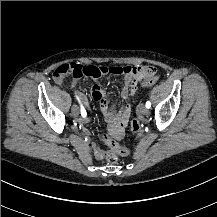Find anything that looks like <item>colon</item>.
I'll return each mask as SVG.
<instances>
[{"mask_svg": "<svg viewBox=\"0 0 217 217\" xmlns=\"http://www.w3.org/2000/svg\"><path fill=\"white\" fill-rule=\"evenodd\" d=\"M155 70L154 67L143 65V66H131V65H113V66H82L77 62L65 63L63 66L55 70L54 76L56 78H61L63 80H68L70 78H97L103 74H131L137 78L142 77L143 75ZM158 80L157 75L154 77L143 80L141 83L144 86H151L155 84ZM131 130L133 132H138L140 130V125L136 119H133L130 124ZM98 138L104 141L107 147L110 150L106 151V159L109 163L114 164L117 161L116 155L114 152H119L124 156L129 154V151L115 142L114 139L107 136L104 133H98Z\"/></svg>", "mask_w": 217, "mask_h": 217, "instance_id": "obj_1", "label": "colon"}]
</instances>
